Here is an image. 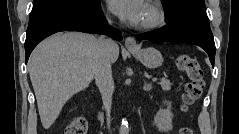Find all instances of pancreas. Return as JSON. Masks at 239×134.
Here are the masks:
<instances>
[{
  "label": "pancreas",
  "mask_w": 239,
  "mask_h": 134,
  "mask_svg": "<svg viewBox=\"0 0 239 134\" xmlns=\"http://www.w3.org/2000/svg\"><path fill=\"white\" fill-rule=\"evenodd\" d=\"M158 84L163 90H167V91L170 90L171 86L173 85V83L166 78H162Z\"/></svg>",
  "instance_id": "1"
}]
</instances>
